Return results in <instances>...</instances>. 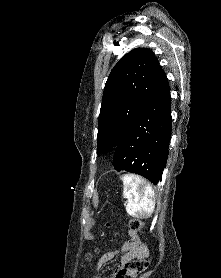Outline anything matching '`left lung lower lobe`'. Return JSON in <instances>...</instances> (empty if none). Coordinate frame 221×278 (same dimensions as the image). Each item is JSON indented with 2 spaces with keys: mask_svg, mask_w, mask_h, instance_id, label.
Here are the masks:
<instances>
[{
  "mask_svg": "<svg viewBox=\"0 0 221 278\" xmlns=\"http://www.w3.org/2000/svg\"><path fill=\"white\" fill-rule=\"evenodd\" d=\"M171 130L170 88L164 73L151 99L115 148L114 168L139 174L157 185L168 158Z\"/></svg>",
  "mask_w": 221,
  "mask_h": 278,
  "instance_id": "1",
  "label": "left lung lower lobe"
}]
</instances>
